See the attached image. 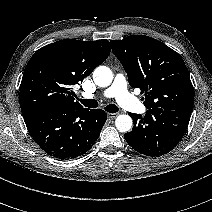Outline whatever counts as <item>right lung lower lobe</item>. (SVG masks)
<instances>
[{
  "mask_svg": "<svg viewBox=\"0 0 212 212\" xmlns=\"http://www.w3.org/2000/svg\"><path fill=\"white\" fill-rule=\"evenodd\" d=\"M107 119L101 109H45L24 117L35 142L48 155L73 159L97 141Z\"/></svg>",
  "mask_w": 212,
  "mask_h": 212,
  "instance_id": "1",
  "label": "right lung lower lobe"
}]
</instances>
